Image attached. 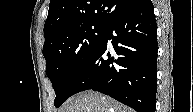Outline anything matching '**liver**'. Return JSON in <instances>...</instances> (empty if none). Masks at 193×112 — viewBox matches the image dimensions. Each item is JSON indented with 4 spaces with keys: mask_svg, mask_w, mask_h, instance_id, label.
Masks as SVG:
<instances>
[{
    "mask_svg": "<svg viewBox=\"0 0 193 112\" xmlns=\"http://www.w3.org/2000/svg\"><path fill=\"white\" fill-rule=\"evenodd\" d=\"M59 112H133L120 103L93 91L71 97Z\"/></svg>",
    "mask_w": 193,
    "mask_h": 112,
    "instance_id": "1",
    "label": "liver"
}]
</instances>
